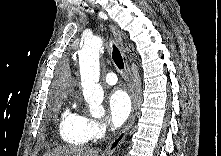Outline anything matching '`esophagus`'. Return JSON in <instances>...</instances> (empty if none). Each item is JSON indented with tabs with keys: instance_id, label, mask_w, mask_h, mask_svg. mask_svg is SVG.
Listing matches in <instances>:
<instances>
[{
	"instance_id": "34e87169",
	"label": "esophagus",
	"mask_w": 221,
	"mask_h": 156,
	"mask_svg": "<svg viewBox=\"0 0 221 156\" xmlns=\"http://www.w3.org/2000/svg\"><path fill=\"white\" fill-rule=\"evenodd\" d=\"M110 29H111V31L115 37V40L119 46V49L121 51V55H122V58L124 61V70H125V74L127 76V79L129 81L130 93H131V97H132V105L133 106H132V113H131L130 120H129L128 124L119 133V135L106 147L105 153L107 155H111L112 153H114L115 150L124 141L126 134H127L128 130L131 128V126L133 125L135 118H136V114H137V94H136L135 81H134V77L132 75L130 65L128 62V58H127V55H126V52L124 49L121 32L114 25H110Z\"/></svg>"
}]
</instances>
